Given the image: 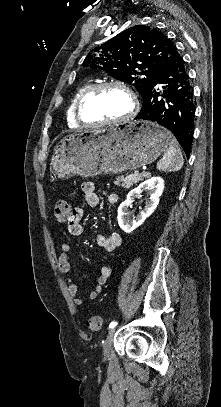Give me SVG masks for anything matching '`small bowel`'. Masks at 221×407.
<instances>
[{
    "instance_id": "small-bowel-1",
    "label": "small bowel",
    "mask_w": 221,
    "mask_h": 407,
    "mask_svg": "<svg viewBox=\"0 0 221 407\" xmlns=\"http://www.w3.org/2000/svg\"><path fill=\"white\" fill-rule=\"evenodd\" d=\"M81 190L85 202L91 207H97L100 203L99 192L104 194L108 204L112 207L117 206L119 202V196L116 193H106L103 190H97L96 186L92 182H84L81 185ZM83 217V209L76 207L69 220L67 221V230L73 236H80L83 233V226L81 223ZM122 239L119 233L110 232L106 234H99L97 237L98 245L105 251L111 252L121 245ZM70 245L65 242L62 244L61 252L57 258V267L59 271L65 276V282L68 289V293L77 306L83 305V298L79 295L78 286L74 282L73 278L69 276L71 265L69 261ZM111 276V268L107 265L102 266L98 277L97 283L93 290L88 294L90 300H95L97 296L102 292L103 286L107 283Z\"/></svg>"
}]
</instances>
